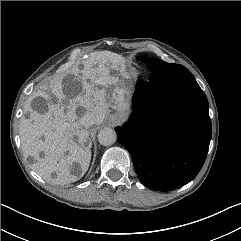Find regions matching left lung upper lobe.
Listing matches in <instances>:
<instances>
[{"mask_svg":"<svg viewBox=\"0 0 241 241\" xmlns=\"http://www.w3.org/2000/svg\"><path fill=\"white\" fill-rule=\"evenodd\" d=\"M138 59L145 62L151 72L157 71L165 76L172 94L198 85L191 72L182 65L169 64L156 58L139 57Z\"/></svg>","mask_w":241,"mask_h":241,"instance_id":"left-lung-upper-lobe-1","label":"left lung upper lobe"}]
</instances>
